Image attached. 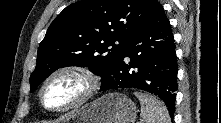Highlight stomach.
<instances>
[{
  "label": "stomach",
  "mask_w": 221,
  "mask_h": 123,
  "mask_svg": "<svg viewBox=\"0 0 221 123\" xmlns=\"http://www.w3.org/2000/svg\"><path fill=\"white\" fill-rule=\"evenodd\" d=\"M137 108L126 95L118 92L98 99L68 113L61 123H135Z\"/></svg>",
  "instance_id": "obj_1"
}]
</instances>
